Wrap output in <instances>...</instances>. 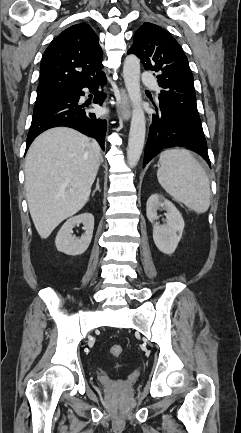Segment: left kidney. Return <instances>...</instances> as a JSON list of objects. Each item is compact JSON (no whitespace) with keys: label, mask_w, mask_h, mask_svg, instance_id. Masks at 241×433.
Here are the masks:
<instances>
[{"label":"left kidney","mask_w":241,"mask_h":433,"mask_svg":"<svg viewBox=\"0 0 241 433\" xmlns=\"http://www.w3.org/2000/svg\"><path fill=\"white\" fill-rule=\"evenodd\" d=\"M162 207L166 213L163 225L156 222L157 210ZM146 215L153 224V240L156 247L164 254H172L176 250L184 230V220L172 202L159 194L149 197L146 204Z\"/></svg>","instance_id":"1"}]
</instances>
